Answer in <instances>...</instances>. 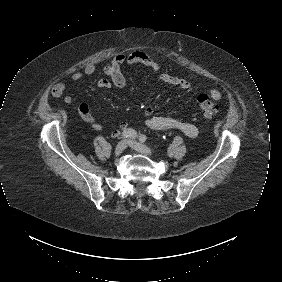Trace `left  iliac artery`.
Segmentation results:
<instances>
[{"label": "left iliac artery", "instance_id": "1", "mask_svg": "<svg viewBox=\"0 0 282 282\" xmlns=\"http://www.w3.org/2000/svg\"><path fill=\"white\" fill-rule=\"evenodd\" d=\"M146 140H147V137H146L145 135H140V136H139V141H140V142L143 143V142H145Z\"/></svg>", "mask_w": 282, "mask_h": 282}]
</instances>
